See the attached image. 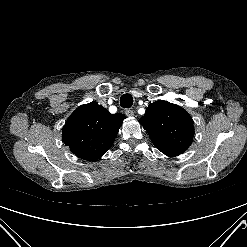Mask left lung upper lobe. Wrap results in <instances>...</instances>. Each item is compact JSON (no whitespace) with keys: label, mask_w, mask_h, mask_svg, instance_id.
I'll return each mask as SVG.
<instances>
[{"label":"left lung upper lobe","mask_w":247,"mask_h":247,"mask_svg":"<svg viewBox=\"0 0 247 247\" xmlns=\"http://www.w3.org/2000/svg\"><path fill=\"white\" fill-rule=\"evenodd\" d=\"M155 147L169 157L184 153L194 137V122L182 107L159 100L139 119Z\"/></svg>","instance_id":"left-lung-upper-lobe-1"}]
</instances>
